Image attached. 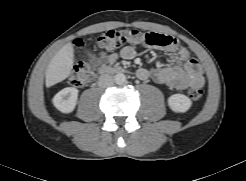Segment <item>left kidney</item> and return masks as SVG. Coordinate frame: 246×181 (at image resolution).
Wrapping results in <instances>:
<instances>
[{"label": "left kidney", "mask_w": 246, "mask_h": 181, "mask_svg": "<svg viewBox=\"0 0 246 181\" xmlns=\"http://www.w3.org/2000/svg\"><path fill=\"white\" fill-rule=\"evenodd\" d=\"M168 105L172 111L184 113L192 105V101L184 94H173L168 98Z\"/></svg>", "instance_id": "obj_1"}]
</instances>
